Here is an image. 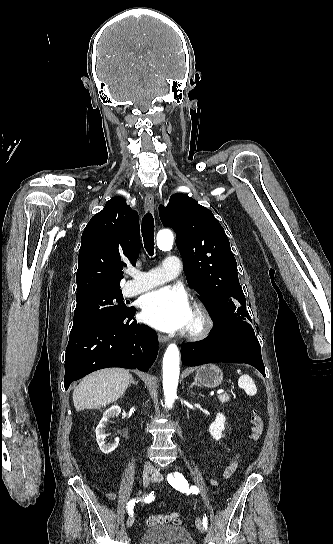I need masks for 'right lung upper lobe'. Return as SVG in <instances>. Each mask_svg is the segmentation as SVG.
<instances>
[{
  "label": "right lung upper lobe",
  "instance_id": "obj_1",
  "mask_svg": "<svg viewBox=\"0 0 333 544\" xmlns=\"http://www.w3.org/2000/svg\"><path fill=\"white\" fill-rule=\"evenodd\" d=\"M140 251L139 217L120 196L111 198L88 222L81 238L76 299L120 290L126 262Z\"/></svg>",
  "mask_w": 333,
  "mask_h": 544
}]
</instances>
